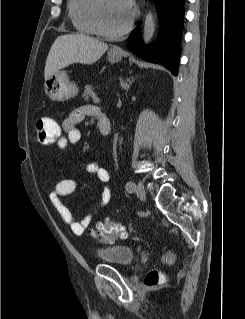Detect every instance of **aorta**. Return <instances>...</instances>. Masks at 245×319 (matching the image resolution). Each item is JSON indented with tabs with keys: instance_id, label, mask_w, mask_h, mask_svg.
Here are the masks:
<instances>
[{
	"instance_id": "762f6f07",
	"label": "aorta",
	"mask_w": 245,
	"mask_h": 319,
	"mask_svg": "<svg viewBox=\"0 0 245 319\" xmlns=\"http://www.w3.org/2000/svg\"><path fill=\"white\" fill-rule=\"evenodd\" d=\"M155 32V22L154 17L151 12H148V14L145 17V23H144V29H143V41L145 44H148ZM120 144H122V139H120Z\"/></svg>"
}]
</instances>
